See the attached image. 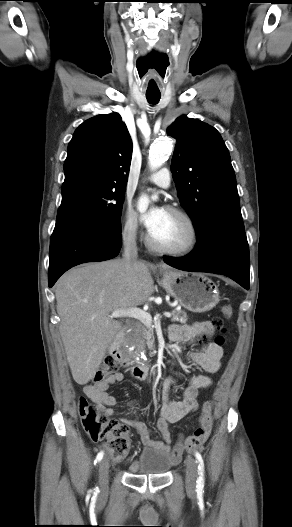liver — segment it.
<instances>
[{"label":"liver","mask_w":292,"mask_h":527,"mask_svg":"<svg viewBox=\"0 0 292 527\" xmlns=\"http://www.w3.org/2000/svg\"><path fill=\"white\" fill-rule=\"evenodd\" d=\"M153 284L148 265L137 259L129 267L124 259L85 264L60 277L55 284L59 331L76 383L85 385L94 377L121 329L122 322L110 313L144 304Z\"/></svg>","instance_id":"obj_1"}]
</instances>
